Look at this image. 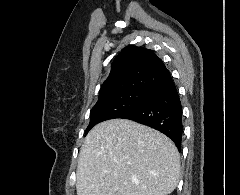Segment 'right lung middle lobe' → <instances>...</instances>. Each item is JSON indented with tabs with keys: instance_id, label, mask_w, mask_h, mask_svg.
Returning a JSON list of instances; mask_svg holds the SVG:
<instances>
[{
	"instance_id": "obj_1",
	"label": "right lung middle lobe",
	"mask_w": 240,
	"mask_h": 195,
	"mask_svg": "<svg viewBox=\"0 0 240 195\" xmlns=\"http://www.w3.org/2000/svg\"><path fill=\"white\" fill-rule=\"evenodd\" d=\"M147 92L124 91L100 97L90 111V123L85 134L96 124L114 118H119L138 106Z\"/></svg>"
}]
</instances>
